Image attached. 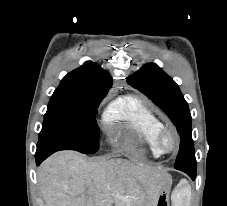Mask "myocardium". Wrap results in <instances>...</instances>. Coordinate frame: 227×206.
Instances as JSON below:
<instances>
[{"label": "myocardium", "instance_id": "obj_1", "mask_svg": "<svg viewBox=\"0 0 227 206\" xmlns=\"http://www.w3.org/2000/svg\"><path fill=\"white\" fill-rule=\"evenodd\" d=\"M167 137H171L173 140V146L171 148H168L165 144ZM179 143V135L172 127L163 125L155 135V145L161 154H170L176 152L179 148Z\"/></svg>", "mask_w": 227, "mask_h": 206}]
</instances>
